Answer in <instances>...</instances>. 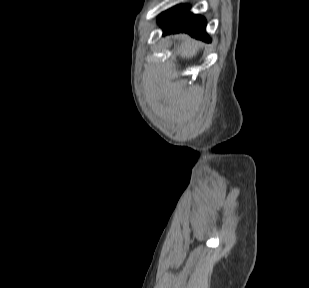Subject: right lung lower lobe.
I'll list each match as a JSON object with an SVG mask.
<instances>
[{"mask_svg": "<svg viewBox=\"0 0 309 288\" xmlns=\"http://www.w3.org/2000/svg\"><path fill=\"white\" fill-rule=\"evenodd\" d=\"M165 34L185 32L203 41H211L206 33V20L189 12L188 8H176L167 14L160 22Z\"/></svg>", "mask_w": 309, "mask_h": 288, "instance_id": "right-lung-lower-lobe-1", "label": "right lung lower lobe"}]
</instances>
